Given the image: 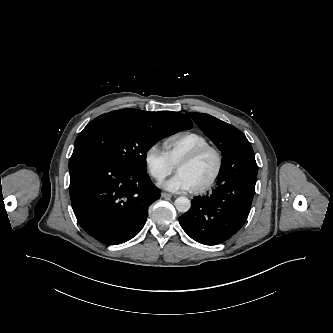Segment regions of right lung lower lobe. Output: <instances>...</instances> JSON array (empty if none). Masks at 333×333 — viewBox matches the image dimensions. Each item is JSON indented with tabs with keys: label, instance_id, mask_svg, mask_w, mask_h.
<instances>
[{
	"label": "right lung lower lobe",
	"instance_id": "right-lung-lower-lobe-1",
	"mask_svg": "<svg viewBox=\"0 0 333 333\" xmlns=\"http://www.w3.org/2000/svg\"><path fill=\"white\" fill-rule=\"evenodd\" d=\"M69 171L77 221L86 233L105 244H121L138 234L149 206L160 198V190L147 173L129 171L86 148L74 149Z\"/></svg>",
	"mask_w": 333,
	"mask_h": 333
}]
</instances>
